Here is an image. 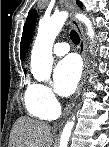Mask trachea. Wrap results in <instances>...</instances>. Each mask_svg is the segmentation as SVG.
I'll return each mask as SVG.
<instances>
[{
	"label": "trachea",
	"instance_id": "obj_1",
	"mask_svg": "<svg viewBox=\"0 0 109 147\" xmlns=\"http://www.w3.org/2000/svg\"><path fill=\"white\" fill-rule=\"evenodd\" d=\"M70 39L72 40V42L74 44H79V42H80V37H79L78 33L75 30H72L70 32Z\"/></svg>",
	"mask_w": 109,
	"mask_h": 147
}]
</instances>
